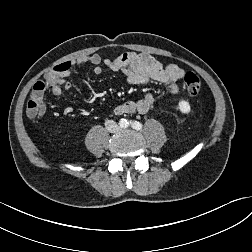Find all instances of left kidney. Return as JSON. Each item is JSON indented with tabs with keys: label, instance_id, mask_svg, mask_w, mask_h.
<instances>
[{
	"label": "left kidney",
	"instance_id": "obj_1",
	"mask_svg": "<svg viewBox=\"0 0 252 252\" xmlns=\"http://www.w3.org/2000/svg\"><path fill=\"white\" fill-rule=\"evenodd\" d=\"M177 108L183 114H189L191 112V106L186 100H180L178 102Z\"/></svg>",
	"mask_w": 252,
	"mask_h": 252
}]
</instances>
